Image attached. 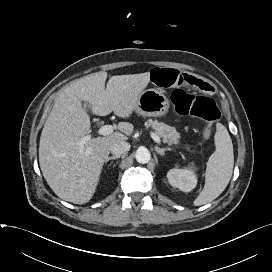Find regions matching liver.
Masks as SVG:
<instances>
[{
  "label": "liver",
  "mask_w": 272,
  "mask_h": 272,
  "mask_svg": "<svg viewBox=\"0 0 272 272\" xmlns=\"http://www.w3.org/2000/svg\"><path fill=\"white\" fill-rule=\"evenodd\" d=\"M106 79V72H96L66 87L57 97L41 133L42 174L58 197L74 204H85L92 198L110 146L127 140L134 130L132 124L120 122V131L80 145L91 125L83 103H88L98 116L114 112L129 118L150 82V73L112 76L105 89Z\"/></svg>",
  "instance_id": "6515ba94"
}]
</instances>
